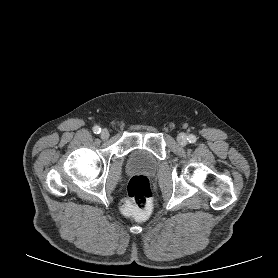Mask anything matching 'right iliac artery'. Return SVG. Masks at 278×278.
<instances>
[{"instance_id":"right-iliac-artery-1","label":"right iliac artery","mask_w":278,"mask_h":278,"mask_svg":"<svg viewBox=\"0 0 278 278\" xmlns=\"http://www.w3.org/2000/svg\"><path fill=\"white\" fill-rule=\"evenodd\" d=\"M100 131H101V128H100L99 126L93 127V132H94L95 134H99Z\"/></svg>"}]
</instances>
